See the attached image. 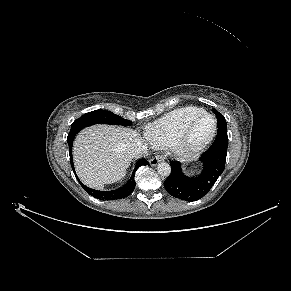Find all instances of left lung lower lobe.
Segmentation results:
<instances>
[{
    "label": "left lung lower lobe",
    "mask_w": 291,
    "mask_h": 291,
    "mask_svg": "<svg viewBox=\"0 0 291 291\" xmlns=\"http://www.w3.org/2000/svg\"><path fill=\"white\" fill-rule=\"evenodd\" d=\"M227 147V132L220 130L214 143L200 158L203 169L197 177L186 176L180 162L171 161V174L164 183L167 192L185 201H196L205 196L225 168Z\"/></svg>",
    "instance_id": "left-lung-lower-lobe-1"
}]
</instances>
